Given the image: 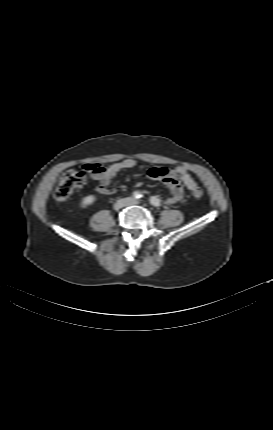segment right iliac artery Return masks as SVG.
<instances>
[{
    "label": "right iliac artery",
    "instance_id": "obj_1",
    "mask_svg": "<svg viewBox=\"0 0 273 430\" xmlns=\"http://www.w3.org/2000/svg\"><path fill=\"white\" fill-rule=\"evenodd\" d=\"M133 197L136 199H139L142 197V194L139 191H134L133 192Z\"/></svg>",
    "mask_w": 273,
    "mask_h": 430
}]
</instances>
